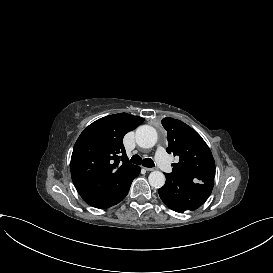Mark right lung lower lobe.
I'll use <instances>...</instances> for the list:
<instances>
[{"instance_id":"98d812e1","label":"right lung lower lobe","mask_w":273,"mask_h":273,"mask_svg":"<svg viewBox=\"0 0 273 273\" xmlns=\"http://www.w3.org/2000/svg\"><path fill=\"white\" fill-rule=\"evenodd\" d=\"M139 173H140V169H138V170L136 171L134 177H133L129 182H127V183L123 186L122 190L119 192L117 198L113 201V203H112L111 205H109V206L104 207V208L111 207V206H113V205L119 203L120 201H122V200L125 198V196L127 195L128 191H129V189H130V186H131V183H132L133 179H134L135 177H137V176L139 175Z\"/></svg>"}]
</instances>
